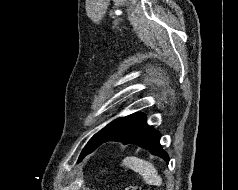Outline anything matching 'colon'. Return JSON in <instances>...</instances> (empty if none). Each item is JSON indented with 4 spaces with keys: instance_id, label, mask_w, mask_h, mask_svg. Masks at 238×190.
Here are the masks:
<instances>
[{
    "instance_id": "5ec220e1",
    "label": "colon",
    "mask_w": 238,
    "mask_h": 190,
    "mask_svg": "<svg viewBox=\"0 0 238 190\" xmlns=\"http://www.w3.org/2000/svg\"><path fill=\"white\" fill-rule=\"evenodd\" d=\"M126 190H141V188L137 186H128Z\"/></svg>"
}]
</instances>
